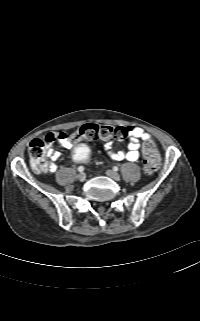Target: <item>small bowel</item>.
<instances>
[{
  "label": "small bowel",
  "instance_id": "obj_1",
  "mask_svg": "<svg viewBox=\"0 0 200 321\" xmlns=\"http://www.w3.org/2000/svg\"><path fill=\"white\" fill-rule=\"evenodd\" d=\"M125 130L127 135L129 136V143L127 145L126 151L114 150L112 143L109 141L104 144V149L107 152L108 156L114 161L127 160L130 162H135L139 158L140 142H151L152 138L147 132H145L142 128L138 126H129ZM49 134L54 136V140L46 144L47 155L51 160V163L49 165V171L55 172L57 169V165L55 164V162L60 158V153L52 149L53 143L57 142L63 148L70 150L71 146L75 144V142L71 139V137L68 134L64 132H56Z\"/></svg>",
  "mask_w": 200,
  "mask_h": 321
}]
</instances>
